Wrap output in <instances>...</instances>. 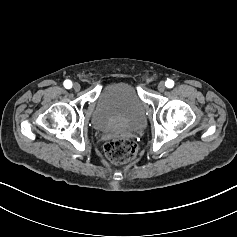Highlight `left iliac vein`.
<instances>
[{
    "label": "left iliac vein",
    "instance_id": "1",
    "mask_svg": "<svg viewBox=\"0 0 237 237\" xmlns=\"http://www.w3.org/2000/svg\"><path fill=\"white\" fill-rule=\"evenodd\" d=\"M165 83L164 82H160L159 84H158V90L159 91H161V92H163L164 90H165Z\"/></svg>",
    "mask_w": 237,
    "mask_h": 237
}]
</instances>
